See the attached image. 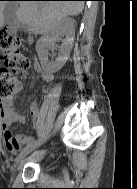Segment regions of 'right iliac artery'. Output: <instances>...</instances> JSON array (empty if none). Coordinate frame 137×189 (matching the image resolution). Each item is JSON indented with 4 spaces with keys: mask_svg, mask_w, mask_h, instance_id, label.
I'll return each instance as SVG.
<instances>
[{
    "mask_svg": "<svg viewBox=\"0 0 137 189\" xmlns=\"http://www.w3.org/2000/svg\"><path fill=\"white\" fill-rule=\"evenodd\" d=\"M41 133H45V130H41ZM39 137H43V134H39ZM33 140V139H30V141ZM30 141L28 142L27 146H29L30 144ZM33 143V142H32Z\"/></svg>",
    "mask_w": 137,
    "mask_h": 189,
    "instance_id": "82829eb1",
    "label": "right iliac artery"
}]
</instances>
